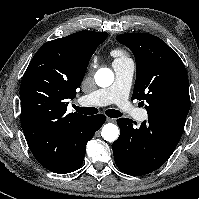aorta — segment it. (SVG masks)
Here are the masks:
<instances>
[{"instance_id":"obj_1","label":"aorta","mask_w":199,"mask_h":199,"mask_svg":"<svg viewBox=\"0 0 199 199\" xmlns=\"http://www.w3.org/2000/svg\"><path fill=\"white\" fill-rule=\"evenodd\" d=\"M113 81L114 73L109 68H101L95 74V82L100 87H108ZM101 135L106 141H115L119 136V128L113 123L105 124L102 128Z\"/></svg>"}]
</instances>
